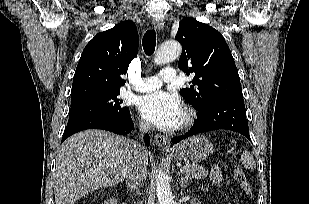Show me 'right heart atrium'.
I'll return each mask as SVG.
<instances>
[{
  "label": "right heart atrium",
  "mask_w": 309,
  "mask_h": 204,
  "mask_svg": "<svg viewBox=\"0 0 309 204\" xmlns=\"http://www.w3.org/2000/svg\"><path fill=\"white\" fill-rule=\"evenodd\" d=\"M139 127L143 130H148L149 129V124L144 121V120H140L139 121Z\"/></svg>",
  "instance_id": "1"
}]
</instances>
